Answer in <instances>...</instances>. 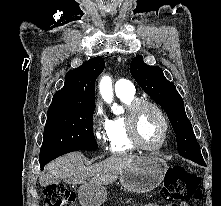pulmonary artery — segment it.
Here are the masks:
<instances>
[{
    "label": "pulmonary artery",
    "mask_w": 221,
    "mask_h": 206,
    "mask_svg": "<svg viewBox=\"0 0 221 206\" xmlns=\"http://www.w3.org/2000/svg\"><path fill=\"white\" fill-rule=\"evenodd\" d=\"M115 90L116 93L131 94L134 93V86L129 80L120 79L116 82Z\"/></svg>",
    "instance_id": "1"
}]
</instances>
